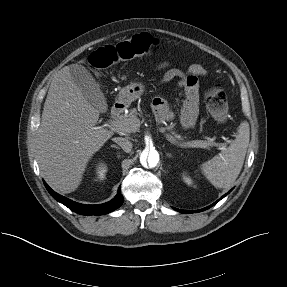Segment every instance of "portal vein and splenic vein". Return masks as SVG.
Listing matches in <instances>:
<instances>
[{"mask_svg":"<svg viewBox=\"0 0 287 287\" xmlns=\"http://www.w3.org/2000/svg\"><path fill=\"white\" fill-rule=\"evenodd\" d=\"M112 126L115 127L117 130H121V124L119 122H112ZM181 148H207L208 146L205 144L204 141L201 140H194L185 142L179 145ZM221 149L225 146L224 144L221 145Z\"/></svg>","mask_w":287,"mask_h":287,"instance_id":"18ae733b","label":"portal vein and splenic vein"}]
</instances>
